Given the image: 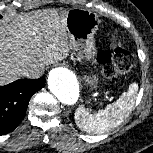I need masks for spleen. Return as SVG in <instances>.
<instances>
[{"mask_svg":"<svg viewBox=\"0 0 153 153\" xmlns=\"http://www.w3.org/2000/svg\"><path fill=\"white\" fill-rule=\"evenodd\" d=\"M138 84H130L126 93H123L117 101L106 106L104 110L91 114L83 106L75 113V121L78 127L88 133H104L120 125L128 116L135 104Z\"/></svg>","mask_w":153,"mask_h":153,"instance_id":"obj_1","label":"spleen"}]
</instances>
